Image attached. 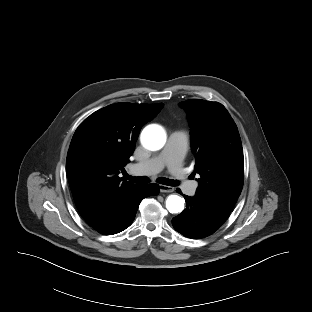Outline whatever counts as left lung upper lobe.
Instances as JSON below:
<instances>
[{
  "mask_svg": "<svg viewBox=\"0 0 312 312\" xmlns=\"http://www.w3.org/2000/svg\"><path fill=\"white\" fill-rule=\"evenodd\" d=\"M179 105L188 113L194 168L200 175L195 196L230 213L240 196L244 178L237 126L220 103L194 99Z\"/></svg>",
  "mask_w": 312,
  "mask_h": 312,
  "instance_id": "left-lung-upper-lobe-1",
  "label": "left lung upper lobe"
}]
</instances>
